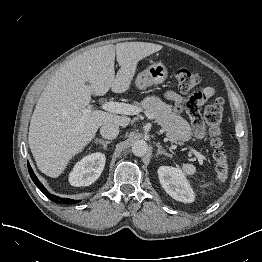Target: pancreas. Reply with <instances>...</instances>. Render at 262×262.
Instances as JSON below:
<instances>
[{"label":"pancreas","mask_w":262,"mask_h":262,"mask_svg":"<svg viewBox=\"0 0 262 262\" xmlns=\"http://www.w3.org/2000/svg\"><path fill=\"white\" fill-rule=\"evenodd\" d=\"M150 118L162 127L171 141H187L191 137L189 123L179 115H176L171 107L155 96L146 97L140 104Z\"/></svg>","instance_id":"cf45deb5"}]
</instances>
